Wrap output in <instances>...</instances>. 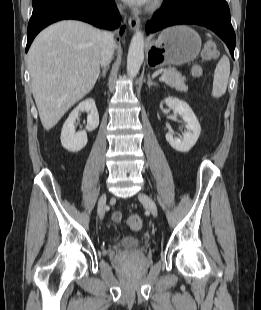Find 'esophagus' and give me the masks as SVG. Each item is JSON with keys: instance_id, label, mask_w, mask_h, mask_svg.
I'll list each match as a JSON object with an SVG mask.
<instances>
[{"instance_id": "1", "label": "esophagus", "mask_w": 261, "mask_h": 310, "mask_svg": "<svg viewBox=\"0 0 261 310\" xmlns=\"http://www.w3.org/2000/svg\"><path fill=\"white\" fill-rule=\"evenodd\" d=\"M128 22L132 31H136L140 26V19L138 17H130Z\"/></svg>"}]
</instances>
